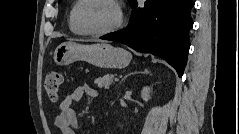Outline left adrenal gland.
<instances>
[{
  "label": "left adrenal gland",
  "instance_id": "left-adrenal-gland-1",
  "mask_svg": "<svg viewBox=\"0 0 239 134\" xmlns=\"http://www.w3.org/2000/svg\"><path fill=\"white\" fill-rule=\"evenodd\" d=\"M135 73H137V72H134V73H131V74H135ZM141 74H149V70L145 69L143 72H141ZM129 75H130V74H129ZM126 77H127V76H126ZM126 77H125V78H126ZM125 78H124V79H125ZM124 79H123V80H124Z\"/></svg>",
  "mask_w": 239,
  "mask_h": 134
}]
</instances>
